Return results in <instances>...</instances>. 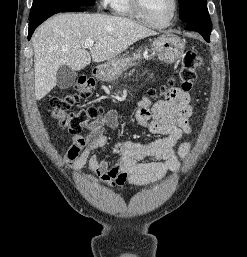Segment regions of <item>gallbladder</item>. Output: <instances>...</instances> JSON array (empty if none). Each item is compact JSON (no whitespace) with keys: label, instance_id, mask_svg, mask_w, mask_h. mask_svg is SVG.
I'll list each match as a JSON object with an SVG mask.
<instances>
[{"label":"gallbladder","instance_id":"obj_1","mask_svg":"<svg viewBox=\"0 0 247 257\" xmlns=\"http://www.w3.org/2000/svg\"><path fill=\"white\" fill-rule=\"evenodd\" d=\"M77 72L67 65L61 66L56 75V84L60 89H68L74 85Z\"/></svg>","mask_w":247,"mask_h":257}]
</instances>
